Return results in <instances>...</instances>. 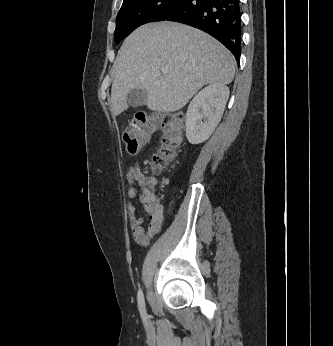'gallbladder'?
I'll return each mask as SVG.
<instances>
[{
    "mask_svg": "<svg viewBox=\"0 0 333 346\" xmlns=\"http://www.w3.org/2000/svg\"><path fill=\"white\" fill-rule=\"evenodd\" d=\"M147 99V92L141 89H133L127 94V103L132 107H139Z\"/></svg>",
    "mask_w": 333,
    "mask_h": 346,
    "instance_id": "bac80fb5",
    "label": "gallbladder"
}]
</instances>
